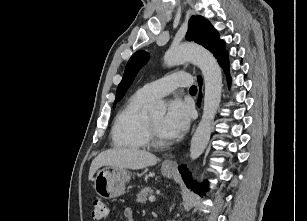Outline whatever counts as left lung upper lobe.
<instances>
[{
	"mask_svg": "<svg viewBox=\"0 0 307 221\" xmlns=\"http://www.w3.org/2000/svg\"><path fill=\"white\" fill-rule=\"evenodd\" d=\"M186 38L189 41H194L211 51L218 61L227 55L224 42L219 39L217 31L211 23L202 16L191 17ZM147 60L148 54L144 51L136 52L129 59L122 81L117 88L116 99L113 107H115V104L122 99L127 89L132 84L139 69L147 62Z\"/></svg>",
	"mask_w": 307,
	"mask_h": 221,
	"instance_id": "left-lung-upper-lobe-1",
	"label": "left lung upper lobe"
}]
</instances>
